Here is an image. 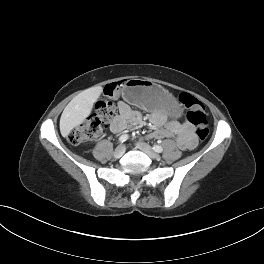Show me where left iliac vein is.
Listing matches in <instances>:
<instances>
[{
  "mask_svg": "<svg viewBox=\"0 0 264 264\" xmlns=\"http://www.w3.org/2000/svg\"><path fill=\"white\" fill-rule=\"evenodd\" d=\"M136 147L146 153L150 158L152 159H159V156L157 153L154 152V150L146 143L144 142H138L136 143Z\"/></svg>",
  "mask_w": 264,
  "mask_h": 264,
  "instance_id": "4c4485c4",
  "label": "left iliac vein"
}]
</instances>
